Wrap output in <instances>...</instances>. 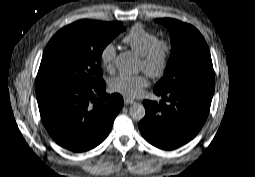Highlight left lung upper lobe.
<instances>
[{
  "instance_id": "obj_1",
  "label": "left lung upper lobe",
  "mask_w": 255,
  "mask_h": 177,
  "mask_svg": "<svg viewBox=\"0 0 255 177\" xmlns=\"http://www.w3.org/2000/svg\"><path fill=\"white\" fill-rule=\"evenodd\" d=\"M168 27L171 54L163 78L154 90L167 92L197 81H215L210 52L206 41L193 26L175 19H156Z\"/></svg>"
}]
</instances>
